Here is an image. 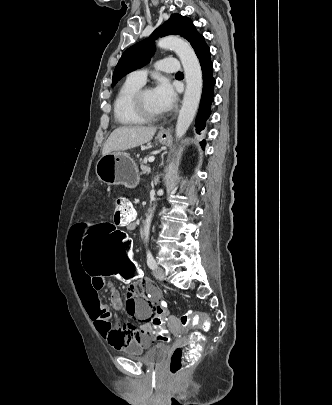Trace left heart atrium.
<instances>
[{"mask_svg": "<svg viewBox=\"0 0 332 405\" xmlns=\"http://www.w3.org/2000/svg\"><path fill=\"white\" fill-rule=\"evenodd\" d=\"M154 97L161 111L166 112L173 108L176 102V93L171 84L161 79L153 89Z\"/></svg>", "mask_w": 332, "mask_h": 405, "instance_id": "left-heart-atrium-1", "label": "left heart atrium"}]
</instances>
